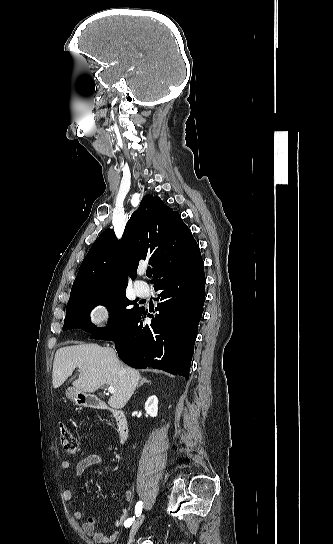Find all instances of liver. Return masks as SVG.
<instances>
[{"label": "liver", "mask_w": 333, "mask_h": 544, "mask_svg": "<svg viewBox=\"0 0 333 544\" xmlns=\"http://www.w3.org/2000/svg\"><path fill=\"white\" fill-rule=\"evenodd\" d=\"M75 368L79 377L73 388L80 393H93L103 385L114 387L115 392L108 404L115 409L123 408L142 381L138 371L123 365L110 347L95 343L66 346L58 349L53 363V387H60Z\"/></svg>", "instance_id": "6515ba94"}]
</instances>
